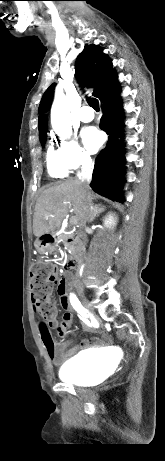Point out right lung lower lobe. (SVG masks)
<instances>
[{"instance_id":"98d812e1","label":"right lung lower lobe","mask_w":165,"mask_h":461,"mask_svg":"<svg viewBox=\"0 0 165 461\" xmlns=\"http://www.w3.org/2000/svg\"><path fill=\"white\" fill-rule=\"evenodd\" d=\"M122 100L119 93L111 100L102 103L103 116L100 128L109 135L108 144L95 160L91 188L100 195L117 202H123L121 187L125 182L124 152L122 141L118 138L122 135V125L119 121L123 118V112L119 109Z\"/></svg>"}]
</instances>
